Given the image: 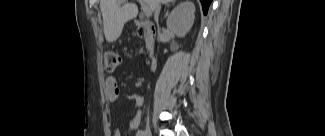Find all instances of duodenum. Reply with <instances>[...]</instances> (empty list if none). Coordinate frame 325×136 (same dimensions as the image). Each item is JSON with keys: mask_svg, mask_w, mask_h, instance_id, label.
<instances>
[{"mask_svg": "<svg viewBox=\"0 0 325 136\" xmlns=\"http://www.w3.org/2000/svg\"><path fill=\"white\" fill-rule=\"evenodd\" d=\"M137 27L141 30L146 37V48L148 51H152L156 41V28L149 21L140 20L137 22Z\"/></svg>", "mask_w": 325, "mask_h": 136, "instance_id": "410a0bca", "label": "duodenum"}]
</instances>
